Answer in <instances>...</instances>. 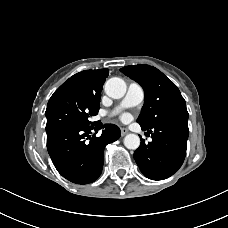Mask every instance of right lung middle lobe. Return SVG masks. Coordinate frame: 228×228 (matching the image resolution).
Segmentation results:
<instances>
[{"instance_id":"dd1d6c3e","label":"right lung middle lobe","mask_w":228,"mask_h":228,"mask_svg":"<svg viewBox=\"0 0 228 228\" xmlns=\"http://www.w3.org/2000/svg\"><path fill=\"white\" fill-rule=\"evenodd\" d=\"M100 97L83 94L71 84H62L51 96L45 112L46 132L71 125H92L99 111Z\"/></svg>"}]
</instances>
